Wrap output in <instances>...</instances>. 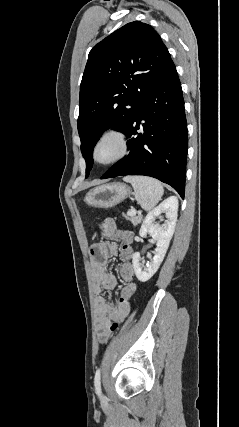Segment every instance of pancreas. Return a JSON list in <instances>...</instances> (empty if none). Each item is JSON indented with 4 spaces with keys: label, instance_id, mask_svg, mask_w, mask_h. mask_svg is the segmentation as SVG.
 Returning <instances> with one entry per match:
<instances>
[{
    "label": "pancreas",
    "instance_id": "obj_1",
    "mask_svg": "<svg viewBox=\"0 0 239 427\" xmlns=\"http://www.w3.org/2000/svg\"><path fill=\"white\" fill-rule=\"evenodd\" d=\"M124 217L127 219V220H130L131 222H132V224L133 225H137V224H139L140 222H141V220H142V216L141 215H138V216H130V215H124Z\"/></svg>",
    "mask_w": 239,
    "mask_h": 427
}]
</instances>
